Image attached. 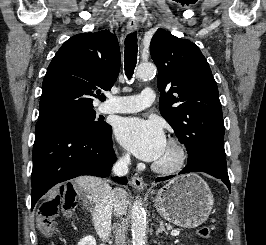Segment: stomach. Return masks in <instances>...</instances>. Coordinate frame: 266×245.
Listing matches in <instances>:
<instances>
[{"label": "stomach", "instance_id": "0dacf381", "mask_svg": "<svg viewBox=\"0 0 266 245\" xmlns=\"http://www.w3.org/2000/svg\"><path fill=\"white\" fill-rule=\"evenodd\" d=\"M213 205L211 189L195 173L169 181L168 185L159 189L154 201V207L163 219L184 229H196L205 223Z\"/></svg>", "mask_w": 266, "mask_h": 245}]
</instances>
